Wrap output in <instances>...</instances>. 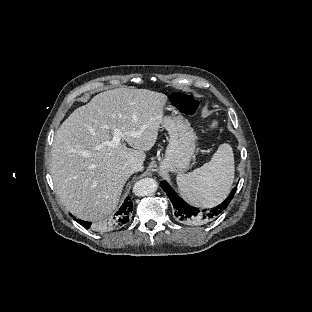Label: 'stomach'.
<instances>
[{"label": "stomach", "mask_w": 312, "mask_h": 312, "mask_svg": "<svg viewBox=\"0 0 312 312\" xmlns=\"http://www.w3.org/2000/svg\"><path fill=\"white\" fill-rule=\"evenodd\" d=\"M163 124L169 133V141L160 168L183 173L190 166L197 146L195 131L189 121L180 116L165 117Z\"/></svg>", "instance_id": "obj_1"}]
</instances>
